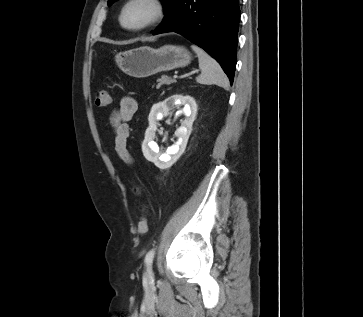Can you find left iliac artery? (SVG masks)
Here are the masks:
<instances>
[{
  "label": "left iliac artery",
  "instance_id": "obj_1",
  "mask_svg": "<svg viewBox=\"0 0 363 317\" xmlns=\"http://www.w3.org/2000/svg\"><path fill=\"white\" fill-rule=\"evenodd\" d=\"M154 255H155V250L151 249V250L148 251V253L146 254V257H145V263H146V265L148 267V273H149L150 276L152 275L151 268H152Z\"/></svg>",
  "mask_w": 363,
  "mask_h": 317
}]
</instances>
